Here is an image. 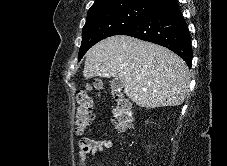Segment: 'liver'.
Returning <instances> with one entry per match:
<instances>
[{"label": "liver", "instance_id": "obj_1", "mask_svg": "<svg viewBox=\"0 0 227 166\" xmlns=\"http://www.w3.org/2000/svg\"><path fill=\"white\" fill-rule=\"evenodd\" d=\"M83 75L120 79L128 98L145 108L181 105L190 83L188 67L178 55L129 36L108 37L90 48Z\"/></svg>", "mask_w": 227, "mask_h": 166}]
</instances>
